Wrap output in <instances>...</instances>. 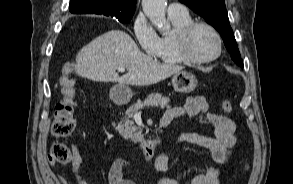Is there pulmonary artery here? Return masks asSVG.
Masks as SVG:
<instances>
[{
  "label": "pulmonary artery",
  "mask_w": 293,
  "mask_h": 184,
  "mask_svg": "<svg viewBox=\"0 0 293 184\" xmlns=\"http://www.w3.org/2000/svg\"><path fill=\"white\" fill-rule=\"evenodd\" d=\"M167 12L168 15H184L187 13V9L184 5L173 2L168 5Z\"/></svg>",
  "instance_id": "obj_1"
}]
</instances>
